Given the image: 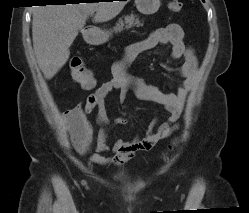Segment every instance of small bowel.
Wrapping results in <instances>:
<instances>
[{
    "instance_id": "obj_1",
    "label": "small bowel",
    "mask_w": 249,
    "mask_h": 213,
    "mask_svg": "<svg viewBox=\"0 0 249 213\" xmlns=\"http://www.w3.org/2000/svg\"><path fill=\"white\" fill-rule=\"evenodd\" d=\"M171 46V56L174 59L183 58L180 66L163 64L164 68L182 80L175 92L166 93L154 85L147 84L140 78L126 74L125 68L139 54L161 45ZM198 70V61L191 47L184 42V32L178 24H169L157 29L143 40L137 41L126 48L120 61L112 71L111 78L101 84L90 94L84 105H77L65 113L67 124L77 136L71 135L74 148L84 154L89 149L92 134L91 124L87 114L97 110V121L103 126L99 131L96 144V152L90 156L93 163L100 165H122L135 157L138 152L151 150L159 141L167 139L180 128L179 118L183 113L188 92L194 86ZM132 89L140 99L153 101L165 108L169 113L166 121L159 123L154 118L148 126L143 138L131 140L117 139L112 146L108 144L109 124L106 107L107 95L119 90V99L124 101L127 92ZM127 118H118L115 124L124 125ZM113 152L112 157H106L103 153Z\"/></svg>"
}]
</instances>
